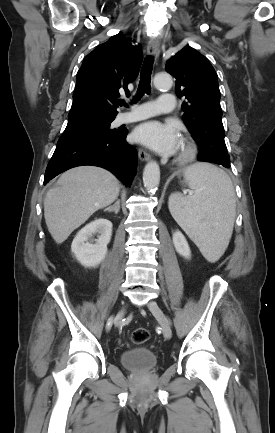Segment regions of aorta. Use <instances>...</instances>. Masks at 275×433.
I'll return each mask as SVG.
<instances>
[{
  "mask_svg": "<svg viewBox=\"0 0 275 433\" xmlns=\"http://www.w3.org/2000/svg\"><path fill=\"white\" fill-rule=\"evenodd\" d=\"M173 85L172 77L169 74H157L154 77V86L157 89H169ZM144 187L148 191L157 189L160 183V168L155 161L147 163L143 171Z\"/></svg>",
  "mask_w": 275,
  "mask_h": 433,
  "instance_id": "obj_1",
  "label": "aorta"
}]
</instances>
